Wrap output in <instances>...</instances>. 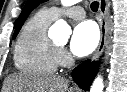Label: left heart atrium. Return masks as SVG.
Returning <instances> with one entry per match:
<instances>
[{
  "instance_id": "left-heart-atrium-1",
  "label": "left heart atrium",
  "mask_w": 127,
  "mask_h": 92,
  "mask_svg": "<svg viewBox=\"0 0 127 92\" xmlns=\"http://www.w3.org/2000/svg\"><path fill=\"white\" fill-rule=\"evenodd\" d=\"M99 42V31L92 21H83L73 30L70 49L78 57L92 53Z\"/></svg>"
}]
</instances>
